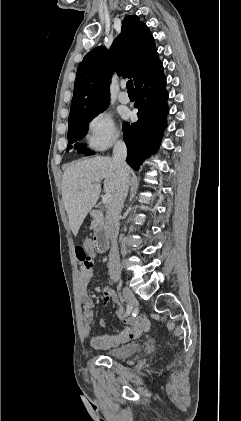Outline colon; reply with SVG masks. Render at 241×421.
<instances>
[{
    "mask_svg": "<svg viewBox=\"0 0 241 421\" xmlns=\"http://www.w3.org/2000/svg\"><path fill=\"white\" fill-rule=\"evenodd\" d=\"M94 243L90 240L84 241L83 244L76 246L77 259L87 266L93 265V248Z\"/></svg>",
    "mask_w": 241,
    "mask_h": 421,
    "instance_id": "5ec220e1",
    "label": "colon"
}]
</instances>
